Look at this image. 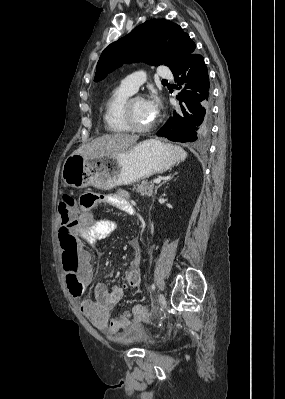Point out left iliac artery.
Wrapping results in <instances>:
<instances>
[{
    "label": "left iliac artery",
    "instance_id": "obj_1",
    "mask_svg": "<svg viewBox=\"0 0 285 399\" xmlns=\"http://www.w3.org/2000/svg\"><path fill=\"white\" fill-rule=\"evenodd\" d=\"M151 289L155 290V285L154 284L151 285Z\"/></svg>",
    "mask_w": 285,
    "mask_h": 399
}]
</instances>
